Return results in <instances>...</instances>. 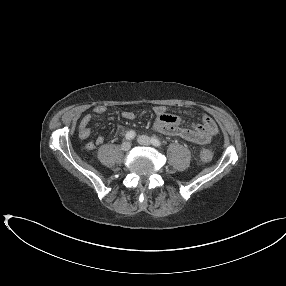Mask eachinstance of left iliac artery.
Listing matches in <instances>:
<instances>
[{"label": "left iliac artery", "instance_id": "obj_1", "mask_svg": "<svg viewBox=\"0 0 286 286\" xmlns=\"http://www.w3.org/2000/svg\"><path fill=\"white\" fill-rule=\"evenodd\" d=\"M151 143H152L154 146H156V147H160V146L162 145L161 142H160V140L157 139L156 137H152V138H151Z\"/></svg>", "mask_w": 286, "mask_h": 286}]
</instances>
